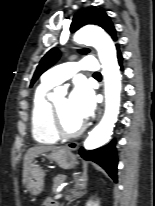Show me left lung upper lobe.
Returning <instances> with one entry per match:
<instances>
[{
    "instance_id": "obj_1",
    "label": "left lung upper lobe",
    "mask_w": 155,
    "mask_h": 206,
    "mask_svg": "<svg viewBox=\"0 0 155 206\" xmlns=\"http://www.w3.org/2000/svg\"><path fill=\"white\" fill-rule=\"evenodd\" d=\"M87 24H95L102 27L107 31L112 39L116 41V30L110 21L109 16L99 8L89 7L77 12L72 20L70 31L75 32L79 28ZM81 53L86 54L89 49L80 50ZM60 53L57 49H51L45 56L41 59L36 71L34 72L33 78L31 80L30 86H32L35 81L44 73L48 68L56 63L59 59Z\"/></svg>"
}]
</instances>
